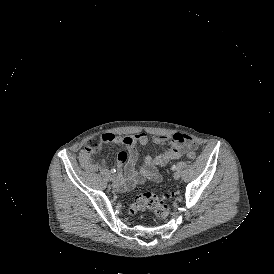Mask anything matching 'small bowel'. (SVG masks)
Instances as JSON below:
<instances>
[{
    "instance_id": "small-bowel-1",
    "label": "small bowel",
    "mask_w": 274,
    "mask_h": 274,
    "mask_svg": "<svg viewBox=\"0 0 274 274\" xmlns=\"http://www.w3.org/2000/svg\"><path fill=\"white\" fill-rule=\"evenodd\" d=\"M175 142L169 145V152L161 154L157 157L146 156L143 166L139 171L137 169L138 152L136 144L147 145L149 138L146 133L140 132L132 136L118 137L113 134H105L102 136V143L123 145L126 151H121L117 155L118 169L114 180V186L122 191H128L135 187L138 183H143L146 180L160 181L161 176L159 168L165 166L170 160H180L183 157V148H197L196 142L191 140L184 134H176L173 136ZM166 137L156 135L153 137V142L157 145L164 146ZM81 165L87 170L103 169L107 165L105 161L96 159L93 153L87 148L83 149L79 154ZM122 167L124 173H122Z\"/></svg>"
}]
</instances>
